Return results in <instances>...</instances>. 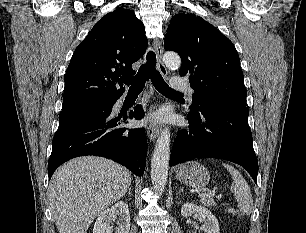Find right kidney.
Wrapping results in <instances>:
<instances>
[{"instance_id":"1","label":"right kidney","mask_w":306,"mask_h":233,"mask_svg":"<svg viewBox=\"0 0 306 233\" xmlns=\"http://www.w3.org/2000/svg\"><path fill=\"white\" fill-rule=\"evenodd\" d=\"M119 217L118 228L115 233H129L130 213L128 205L124 201L117 202L111 208L104 210L96 219L93 233H112L111 223Z\"/></svg>"}]
</instances>
